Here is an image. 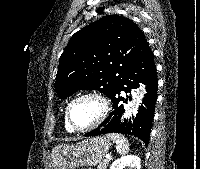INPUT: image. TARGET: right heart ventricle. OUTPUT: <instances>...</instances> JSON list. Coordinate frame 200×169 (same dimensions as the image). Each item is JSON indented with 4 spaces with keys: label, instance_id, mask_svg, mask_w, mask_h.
Masks as SVG:
<instances>
[{
    "label": "right heart ventricle",
    "instance_id": "1",
    "mask_svg": "<svg viewBox=\"0 0 200 169\" xmlns=\"http://www.w3.org/2000/svg\"><path fill=\"white\" fill-rule=\"evenodd\" d=\"M65 129H66L68 132H74V131L70 128V126L68 125L66 118H65Z\"/></svg>",
    "mask_w": 200,
    "mask_h": 169
}]
</instances>
